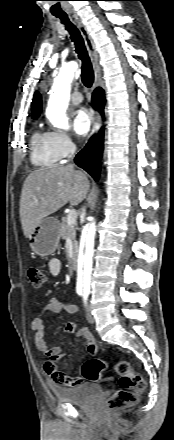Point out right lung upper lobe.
I'll return each mask as SVG.
<instances>
[{
  "label": "right lung upper lobe",
  "mask_w": 174,
  "mask_h": 440,
  "mask_svg": "<svg viewBox=\"0 0 174 440\" xmlns=\"http://www.w3.org/2000/svg\"><path fill=\"white\" fill-rule=\"evenodd\" d=\"M41 96L38 92L35 93L34 99L32 101V117L37 118L42 110V104H41Z\"/></svg>",
  "instance_id": "1"
}]
</instances>
